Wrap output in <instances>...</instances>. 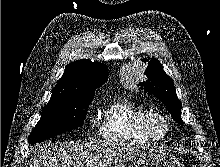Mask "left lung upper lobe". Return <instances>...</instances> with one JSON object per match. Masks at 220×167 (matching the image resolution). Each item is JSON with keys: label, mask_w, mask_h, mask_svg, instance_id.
<instances>
[{"label": "left lung upper lobe", "mask_w": 220, "mask_h": 167, "mask_svg": "<svg viewBox=\"0 0 220 167\" xmlns=\"http://www.w3.org/2000/svg\"><path fill=\"white\" fill-rule=\"evenodd\" d=\"M149 59H144L146 62ZM146 79L138 84L142 90L156 96L169 110L172 118L179 124L181 119V101L178 99L173 80L164 72L162 64L152 57L145 71Z\"/></svg>", "instance_id": "obj_1"}]
</instances>
